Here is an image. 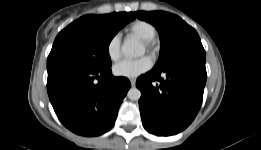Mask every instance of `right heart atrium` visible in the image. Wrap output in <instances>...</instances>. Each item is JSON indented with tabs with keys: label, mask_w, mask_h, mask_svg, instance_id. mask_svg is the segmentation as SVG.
I'll list each match as a JSON object with an SVG mask.
<instances>
[{
	"label": "right heart atrium",
	"mask_w": 261,
	"mask_h": 150,
	"mask_svg": "<svg viewBox=\"0 0 261 150\" xmlns=\"http://www.w3.org/2000/svg\"><path fill=\"white\" fill-rule=\"evenodd\" d=\"M106 53L111 61L119 60L121 56V40L118 34L113 35L106 44Z\"/></svg>",
	"instance_id": "d8ad5b80"
}]
</instances>
